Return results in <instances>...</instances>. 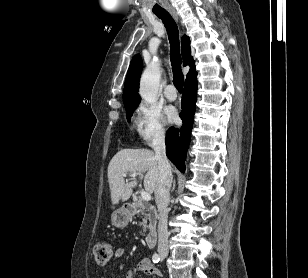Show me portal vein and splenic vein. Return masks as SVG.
I'll return each mask as SVG.
<instances>
[{"instance_id":"portal-vein-and-splenic-vein-1","label":"portal vein and splenic vein","mask_w":308,"mask_h":278,"mask_svg":"<svg viewBox=\"0 0 308 278\" xmlns=\"http://www.w3.org/2000/svg\"><path fill=\"white\" fill-rule=\"evenodd\" d=\"M123 176L126 177L127 174H123ZM137 176H138L137 173L130 174V177H132V178H136ZM141 197L144 201H150L151 200V194L148 191H142Z\"/></svg>"}]
</instances>
